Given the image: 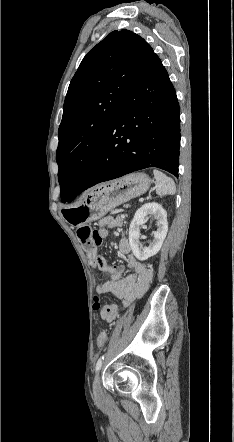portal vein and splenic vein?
<instances>
[{
    "label": "portal vein and splenic vein",
    "mask_w": 234,
    "mask_h": 442,
    "mask_svg": "<svg viewBox=\"0 0 234 442\" xmlns=\"http://www.w3.org/2000/svg\"><path fill=\"white\" fill-rule=\"evenodd\" d=\"M143 200H144L143 198H140V199H139L140 202H143Z\"/></svg>",
    "instance_id": "18ae733b"
}]
</instances>
